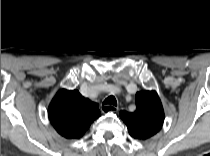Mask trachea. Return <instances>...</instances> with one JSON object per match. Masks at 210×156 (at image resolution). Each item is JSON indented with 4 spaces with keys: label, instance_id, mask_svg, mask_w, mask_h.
Returning a JSON list of instances; mask_svg holds the SVG:
<instances>
[{
    "label": "trachea",
    "instance_id": "obj_1",
    "mask_svg": "<svg viewBox=\"0 0 210 156\" xmlns=\"http://www.w3.org/2000/svg\"><path fill=\"white\" fill-rule=\"evenodd\" d=\"M103 104H110V105L117 106V101H116V98L111 95L104 100Z\"/></svg>",
    "mask_w": 210,
    "mask_h": 156
}]
</instances>
